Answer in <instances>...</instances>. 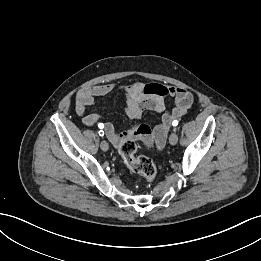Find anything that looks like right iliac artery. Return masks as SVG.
I'll return each instance as SVG.
<instances>
[{
	"instance_id": "1",
	"label": "right iliac artery",
	"mask_w": 261,
	"mask_h": 261,
	"mask_svg": "<svg viewBox=\"0 0 261 261\" xmlns=\"http://www.w3.org/2000/svg\"><path fill=\"white\" fill-rule=\"evenodd\" d=\"M103 126H104V125H103L102 123L98 124V127H99L100 129H102ZM98 133H99V135H100L101 137L104 136V131H103V130H100Z\"/></svg>"
}]
</instances>
